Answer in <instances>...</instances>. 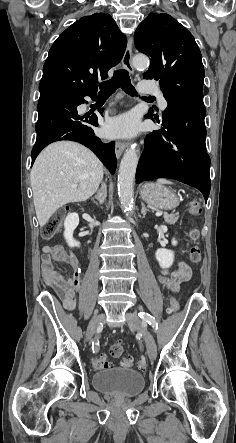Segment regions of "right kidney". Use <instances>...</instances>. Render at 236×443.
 <instances>
[{
    "label": "right kidney",
    "mask_w": 236,
    "mask_h": 443,
    "mask_svg": "<svg viewBox=\"0 0 236 443\" xmlns=\"http://www.w3.org/2000/svg\"><path fill=\"white\" fill-rule=\"evenodd\" d=\"M79 224L77 213H70L64 221V238L70 247H79L80 243L73 238V232Z\"/></svg>",
    "instance_id": "1"
}]
</instances>
